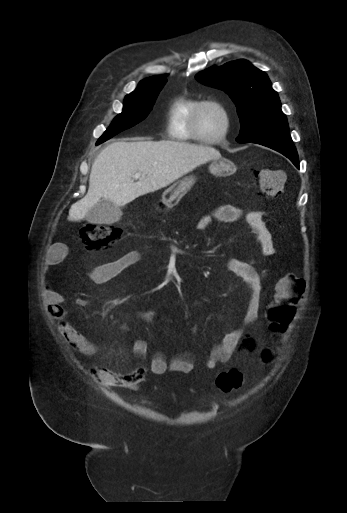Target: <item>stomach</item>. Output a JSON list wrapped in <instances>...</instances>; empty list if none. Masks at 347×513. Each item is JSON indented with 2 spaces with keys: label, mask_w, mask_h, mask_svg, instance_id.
I'll return each mask as SVG.
<instances>
[{
  "label": "stomach",
  "mask_w": 347,
  "mask_h": 513,
  "mask_svg": "<svg viewBox=\"0 0 347 513\" xmlns=\"http://www.w3.org/2000/svg\"><path fill=\"white\" fill-rule=\"evenodd\" d=\"M235 164L228 159L214 160L209 165V171L215 176H227L233 172ZM193 176H185L167 188L162 194L161 203L165 208H172L194 185Z\"/></svg>",
  "instance_id": "stomach-1"
}]
</instances>
